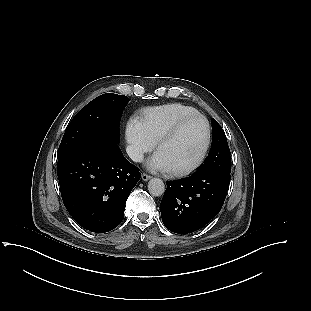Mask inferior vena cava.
<instances>
[{
	"label": "inferior vena cava",
	"instance_id": "obj_1",
	"mask_svg": "<svg viewBox=\"0 0 311 311\" xmlns=\"http://www.w3.org/2000/svg\"><path fill=\"white\" fill-rule=\"evenodd\" d=\"M126 152L128 156L135 162H142L144 159V155L142 151L135 146H132V145L127 146Z\"/></svg>",
	"mask_w": 311,
	"mask_h": 311
}]
</instances>
